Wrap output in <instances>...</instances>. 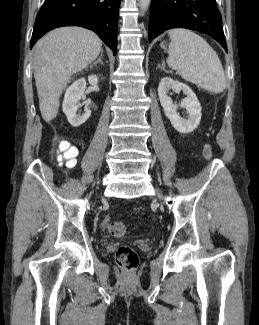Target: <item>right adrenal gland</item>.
<instances>
[{
    "label": "right adrenal gland",
    "instance_id": "obj_1",
    "mask_svg": "<svg viewBox=\"0 0 259 325\" xmlns=\"http://www.w3.org/2000/svg\"><path fill=\"white\" fill-rule=\"evenodd\" d=\"M102 56H103V51H101V55H100V57L98 58V60L97 61H95L93 64H91L90 65V68H92L94 65H97L98 63H101V64H103V62H102Z\"/></svg>",
    "mask_w": 259,
    "mask_h": 325
}]
</instances>
